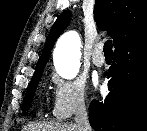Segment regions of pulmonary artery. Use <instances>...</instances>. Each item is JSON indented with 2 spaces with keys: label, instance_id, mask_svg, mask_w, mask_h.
Returning <instances> with one entry per match:
<instances>
[{
  "label": "pulmonary artery",
  "instance_id": "obj_1",
  "mask_svg": "<svg viewBox=\"0 0 147 131\" xmlns=\"http://www.w3.org/2000/svg\"><path fill=\"white\" fill-rule=\"evenodd\" d=\"M102 51H103V43H98L95 46L94 52L92 54V62L97 67H101L105 63V57Z\"/></svg>",
  "mask_w": 147,
  "mask_h": 131
}]
</instances>
